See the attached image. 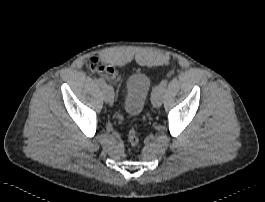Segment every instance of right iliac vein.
<instances>
[{"mask_svg": "<svg viewBox=\"0 0 265 202\" xmlns=\"http://www.w3.org/2000/svg\"><path fill=\"white\" fill-rule=\"evenodd\" d=\"M103 98L106 103L111 104L114 101V90L111 86L106 85L103 87Z\"/></svg>", "mask_w": 265, "mask_h": 202, "instance_id": "right-iliac-vein-1", "label": "right iliac vein"}]
</instances>
